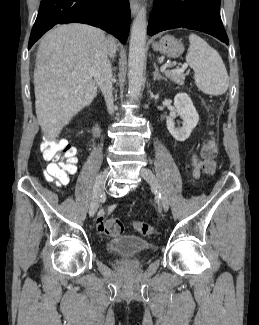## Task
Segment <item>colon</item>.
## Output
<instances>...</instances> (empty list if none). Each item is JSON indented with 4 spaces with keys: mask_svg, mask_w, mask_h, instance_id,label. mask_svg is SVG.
Returning <instances> with one entry per match:
<instances>
[{
    "mask_svg": "<svg viewBox=\"0 0 259 325\" xmlns=\"http://www.w3.org/2000/svg\"><path fill=\"white\" fill-rule=\"evenodd\" d=\"M41 152L46 160L51 161L47 166L45 177L57 186L65 185L69 176L76 170V149L64 139L47 140L41 145ZM217 153V145L213 138L207 140L201 150L203 157V169L206 174H213L216 170L214 157ZM134 228L144 236H150L154 232L151 224L135 222ZM105 231L112 236H119L124 232V224L118 218H111L105 223Z\"/></svg>",
    "mask_w": 259,
    "mask_h": 325,
    "instance_id": "1",
    "label": "colon"
}]
</instances>
